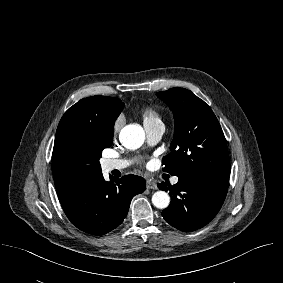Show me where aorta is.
<instances>
[{"label": "aorta", "mask_w": 283, "mask_h": 283, "mask_svg": "<svg viewBox=\"0 0 283 283\" xmlns=\"http://www.w3.org/2000/svg\"><path fill=\"white\" fill-rule=\"evenodd\" d=\"M119 139L125 148L135 150L144 143L145 133L140 125L129 124L122 128ZM152 203L156 208L165 209L170 203V197L165 191H157L152 196Z\"/></svg>", "instance_id": "762f6f07"}]
</instances>
